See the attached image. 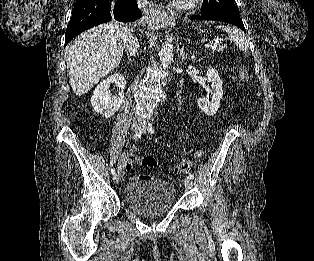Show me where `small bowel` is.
I'll use <instances>...</instances> for the list:
<instances>
[{
    "mask_svg": "<svg viewBox=\"0 0 314 261\" xmlns=\"http://www.w3.org/2000/svg\"><path fill=\"white\" fill-rule=\"evenodd\" d=\"M137 155L135 150H131L123 154L120 158V167L123 172H128L131 169V165L134 161H137Z\"/></svg>",
    "mask_w": 314,
    "mask_h": 261,
    "instance_id": "small-bowel-1",
    "label": "small bowel"
}]
</instances>
